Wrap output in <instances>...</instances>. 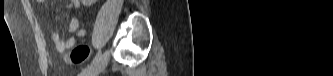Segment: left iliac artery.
I'll return each mask as SVG.
<instances>
[{"instance_id": "obj_1", "label": "left iliac artery", "mask_w": 333, "mask_h": 76, "mask_svg": "<svg viewBox=\"0 0 333 76\" xmlns=\"http://www.w3.org/2000/svg\"><path fill=\"white\" fill-rule=\"evenodd\" d=\"M101 55H102V53H101V51L99 50L98 53L96 54V56L94 57L93 61L91 62V64H90V65H87V66L85 67L84 70L88 69V68L91 67L95 62H97L98 59L101 57ZM84 70H83V71H84Z\"/></svg>"}]
</instances>
